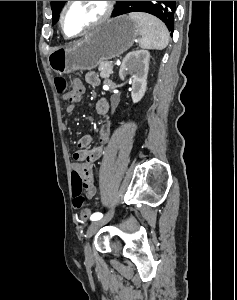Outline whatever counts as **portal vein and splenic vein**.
<instances>
[{"label":"portal vein and splenic vein","mask_w":237,"mask_h":300,"mask_svg":"<svg viewBox=\"0 0 237 300\" xmlns=\"http://www.w3.org/2000/svg\"><path fill=\"white\" fill-rule=\"evenodd\" d=\"M109 64L110 65H108V68H110V69L113 68V65H111L112 63L110 62Z\"/></svg>","instance_id":"1"}]
</instances>
